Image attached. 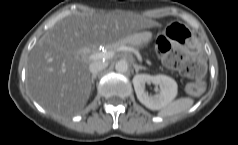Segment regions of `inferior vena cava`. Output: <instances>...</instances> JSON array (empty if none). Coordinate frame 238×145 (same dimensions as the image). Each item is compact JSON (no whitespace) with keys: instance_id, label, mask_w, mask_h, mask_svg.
<instances>
[{"instance_id":"1","label":"inferior vena cava","mask_w":238,"mask_h":145,"mask_svg":"<svg viewBox=\"0 0 238 145\" xmlns=\"http://www.w3.org/2000/svg\"><path fill=\"white\" fill-rule=\"evenodd\" d=\"M107 66H108L107 62L94 61L89 65V70L94 75L105 69Z\"/></svg>"}]
</instances>
